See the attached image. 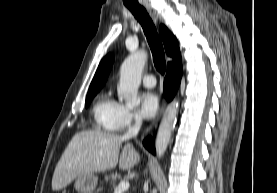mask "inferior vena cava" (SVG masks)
Here are the masks:
<instances>
[{"mask_svg": "<svg viewBox=\"0 0 277 193\" xmlns=\"http://www.w3.org/2000/svg\"><path fill=\"white\" fill-rule=\"evenodd\" d=\"M141 126H142V117L135 116V123H134L133 127L127 131V133L125 134L124 137L129 139V138L137 136Z\"/></svg>", "mask_w": 277, "mask_h": 193, "instance_id": "inferior-vena-cava-1", "label": "inferior vena cava"}]
</instances>
